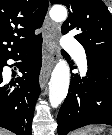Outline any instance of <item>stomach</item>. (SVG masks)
Masks as SVG:
<instances>
[{
  "label": "stomach",
  "mask_w": 112,
  "mask_h": 135,
  "mask_svg": "<svg viewBox=\"0 0 112 135\" xmlns=\"http://www.w3.org/2000/svg\"><path fill=\"white\" fill-rule=\"evenodd\" d=\"M87 133H89V135H95V134L90 133V129H87Z\"/></svg>",
  "instance_id": "stomach-1"
}]
</instances>
